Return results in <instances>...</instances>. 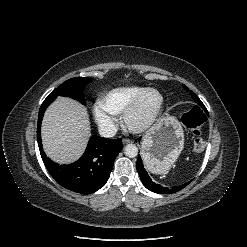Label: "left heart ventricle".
I'll use <instances>...</instances> for the list:
<instances>
[{"label":"left heart ventricle","instance_id":"obj_1","mask_svg":"<svg viewBox=\"0 0 247 247\" xmlns=\"http://www.w3.org/2000/svg\"><path fill=\"white\" fill-rule=\"evenodd\" d=\"M158 104H159V97L157 94L155 93L147 94L142 99L137 109L131 116L132 124L140 125L146 122L154 114Z\"/></svg>","mask_w":247,"mask_h":247}]
</instances>
